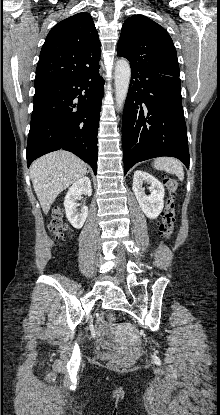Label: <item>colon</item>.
<instances>
[{"mask_svg":"<svg viewBox=\"0 0 220 415\" xmlns=\"http://www.w3.org/2000/svg\"><path fill=\"white\" fill-rule=\"evenodd\" d=\"M165 186L169 192L166 207L162 215L161 222L159 224V232L161 236L168 239L173 234L175 224V193L178 188L176 180L172 178H166L164 180ZM50 229L53 236L56 239H63L67 233L68 227L64 221L63 212L60 208H56L51 216ZM117 320V315L114 312H110L107 315V322L109 325H114ZM131 362L124 358H115L110 362V366L116 370H124L130 367Z\"/></svg>","mask_w":220,"mask_h":415,"instance_id":"obj_1","label":"colon"}]
</instances>
